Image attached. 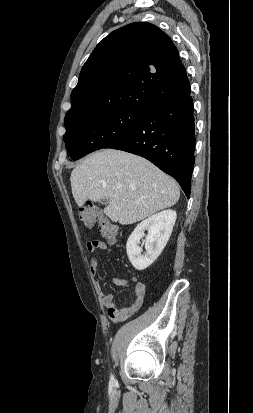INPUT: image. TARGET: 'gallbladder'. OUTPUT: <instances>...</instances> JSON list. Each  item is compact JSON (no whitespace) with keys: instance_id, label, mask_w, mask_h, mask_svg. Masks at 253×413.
<instances>
[{"instance_id":"gallbladder-1","label":"gallbladder","mask_w":253,"mask_h":413,"mask_svg":"<svg viewBox=\"0 0 253 413\" xmlns=\"http://www.w3.org/2000/svg\"><path fill=\"white\" fill-rule=\"evenodd\" d=\"M100 203L101 204H106V203H108V199L101 200Z\"/></svg>"}]
</instances>
